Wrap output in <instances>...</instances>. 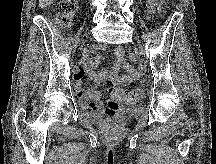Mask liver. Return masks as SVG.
Segmentation results:
<instances>
[{
  "instance_id": "1",
  "label": "liver",
  "mask_w": 216,
  "mask_h": 164,
  "mask_svg": "<svg viewBox=\"0 0 216 164\" xmlns=\"http://www.w3.org/2000/svg\"><path fill=\"white\" fill-rule=\"evenodd\" d=\"M53 2L54 0H39V7L41 9H45L49 7Z\"/></svg>"
}]
</instances>
